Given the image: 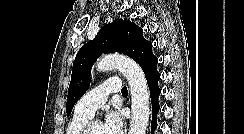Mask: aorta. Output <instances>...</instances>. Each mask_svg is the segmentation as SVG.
I'll list each match as a JSON object with an SVG mask.
<instances>
[{"label": "aorta", "mask_w": 244, "mask_h": 134, "mask_svg": "<svg viewBox=\"0 0 244 134\" xmlns=\"http://www.w3.org/2000/svg\"><path fill=\"white\" fill-rule=\"evenodd\" d=\"M99 71L118 69L127 79L131 94L132 118L128 134H145L149 121V89L141 67L122 55H108L96 64Z\"/></svg>", "instance_id": "aorta-1"}]
</instances>
